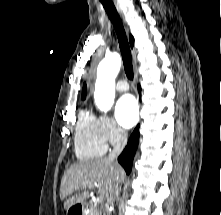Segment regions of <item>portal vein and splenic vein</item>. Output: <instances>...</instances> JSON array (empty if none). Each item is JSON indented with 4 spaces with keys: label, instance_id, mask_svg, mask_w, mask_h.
Segmentation results:
<instances>
[{
    "label": "portal vein and splenic vein",
    "instance_id": "portal-vein-and-splenic-vein-1",
    "mask_svg": "<svg viewBox=\"0 0 221 215\" xmlns=\"http://www.w3.org/2000/svg\"><path fill=\"white\" fill-rule=\"evenodd\" d=\"M89 187H93L92 184H88ZM99 199H103V197H100Z\"/></svg>",
    "mask_w": 221,
    "mask_h": 215
}]
</instances>
